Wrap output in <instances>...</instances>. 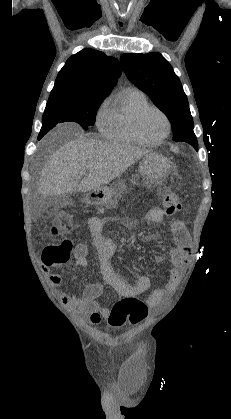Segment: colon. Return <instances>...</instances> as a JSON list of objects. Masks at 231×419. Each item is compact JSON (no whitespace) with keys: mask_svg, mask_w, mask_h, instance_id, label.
Instances as JSON below:
<instances>
[{"mask_svg":"<svg viewBox=\"0 0 231 419\" xmlns=\"http://www.w3.org/2000/svg\"><path fill=\"white\" fill-rule=\"evenodd\" d=\"M164 212L166 216L173 217L181 209V202L177 195L172 192H166L163 196ZM72 220L69 213L60 214L50 227L52 235H58L72 229ZM72 251L70 240H63L56 244L46 246L42 253L43 263L46 266L58 265L67 262ZM170 277L169 273L165 274ZM147 316V307L144 302L134 298L127 297L117 301L110 309L108 323L113 328H120L127 322L135 325L141 322Z\"/></svg>","mask_w":231,"mask_h":419,"instance_id":"5ec220e1","label":"colon"}]
</instances>
